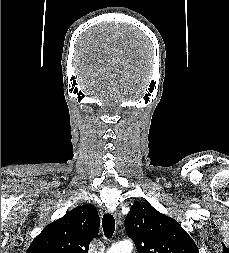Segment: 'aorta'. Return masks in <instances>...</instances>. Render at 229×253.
<instances>
[{
  "label": "aorta",
  "mask_w": 229,
  "mask_h": 253,
  "mask_svg": "<svg viewBox=\"0 0 229 253\" xmlns=\"http://www.w3.org/2000/svg\"><path fill=\"white\" fill-rule=\"evenodd\" d=\"M133 244L129 240L122 241L113 245L107 253H131Z\"/></svg>",
  "instance_id": "obj_1"
}]
</instances>
